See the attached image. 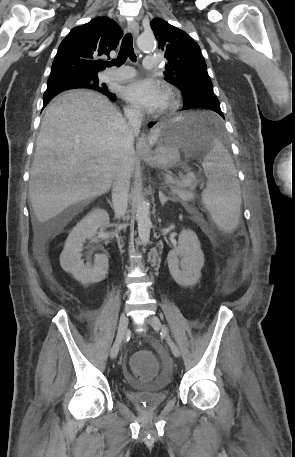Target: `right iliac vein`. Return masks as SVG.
Returning <instances> with one entry per match:
<instances>
[{"label": "right iliac vein", "mask_w": 295, "mask_h": 457, "mask_svg": "<svg viewBox=\"0 0 295 457\" xmlns=\"http://www.w3.org/2000/svg\"><path fill=\"white\" fill-rule=\"evenodd\" d=\"M127 327H128V317H127L126 313L123 312L120 316L118 332H117V337H116L115 343L113 344V346L110 350L111 359H115L117 357L120 345H121L123 339L125 338Z\"/></svg>", "instance_id": "right-iliac-vein-1"}]
</instances>
